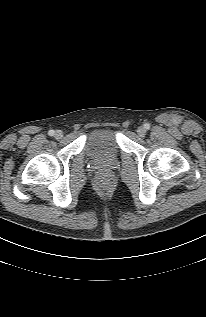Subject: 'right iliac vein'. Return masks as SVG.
Wrapping results in <instances>:
<instances>
[{
    "instance_id": "obj_1",
    "label": "right iliac vein",
    "mask_w": 206,
    "mask_h": 317,
    "mask_svg": "<svg viewBox=\"0 0 206 317\" xmlns=\"http://www.w3.org/2000/svg\"><path fill=\"white\" fill-rule=\"evenodd\" d=\"M54 136L56 139H61L63 137V132L61 130H57Z\"/></svg>"
}]
</instances>
